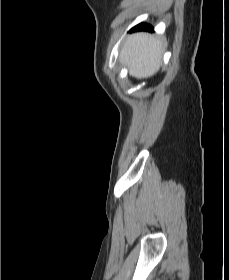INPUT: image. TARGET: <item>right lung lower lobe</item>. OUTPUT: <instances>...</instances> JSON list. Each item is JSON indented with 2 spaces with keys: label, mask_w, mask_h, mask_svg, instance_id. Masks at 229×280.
<instances>
[{
  "label": "right lung lower lobe",
  "mask_w": 229,
  "mask_h": 280,
  "mask_svg": "<svg viewBox=\"0 0 229 280\" xmlns=\"http://www.w3.org/2000/svg\"><path fill=\"white\" fill-rule=\"evenodd\" d=\"M138 30L153 31V28H152V26H150L148 24L141 23V24L135 26L134 28H132L130 32L138 31Z\"/></svg>",
  "instance_id": "right-lung-lower-lobe-1"
}]
</instances>
